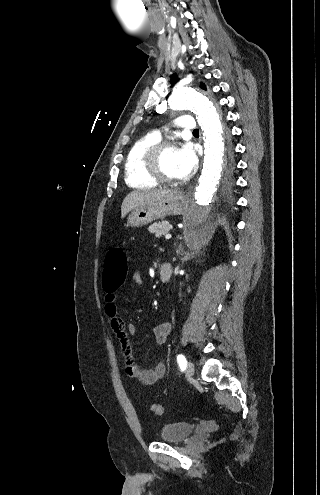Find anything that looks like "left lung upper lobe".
<instances>
[{
    "mask_svg": "<svg viewBox=\"0 0 320 495\" xmlns=\"http://www.w3.org/2000/svg\"><path fill=\"white\" fill-rule=\"evenodd\" d=\"M201 88L206 90L205 84L201 83ZM234 161H233V156H232V149L230 144L226 146V169L227 171H231L233 167Z\"/></svg>",
    "mask_w": 320,
    "mask_h": 495,
    "instance_id": "left-lung-upper-lobe-1",
    "label": "left lung upper lobe"
}]
</instances>
